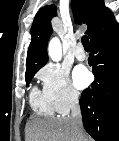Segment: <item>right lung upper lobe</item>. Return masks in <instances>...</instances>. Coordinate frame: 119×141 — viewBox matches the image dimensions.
Instances as JSON below:
<instances>
[{
	"instance_id": "1",
	"label": "right lung upper lobe",
	"mask_w": 119,
	"mask_h": 141,
	"mask_svg": "<svg viewBox=\"0 0 119 141\" xmlns=\"http://www.w3.org/2000/svg\"><path fill=\"white\" fill-rule=\"evenodd\" d=\"M72 10L77 23L88 25L86 33L91 39L97 28L113 16L105 7L104 0H72ZM56 16V7L48 5L36 14L31 28V43L26 60V74L37 72L47 60V42L52 34L51 19Z\"/></svg>"
}]
</instances>
